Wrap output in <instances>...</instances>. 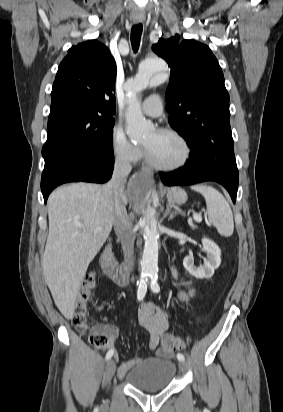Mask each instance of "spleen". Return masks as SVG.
<instances>
[{
    "instance_id": "3e777b00",
    "label": "spleen",
    "mask_w": 283,
    "mask_h": 412,
    "mask_svg": "<svg viewBox=\"0 0 283 412\" xmlns=\"http://www.w3.org/2000/svg\"><path fill=\"white\" fill-rule=\"evenodd\" d=\"M191 188L205 198L210 223L221 236L230 237L234 230L233 214L224 196L210 186L195 185Z\"/></svg>"
}]
</instances>
